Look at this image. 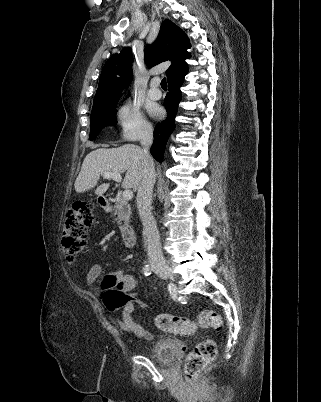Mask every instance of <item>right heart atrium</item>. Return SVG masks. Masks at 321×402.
<instances>
[{
	"label": "right heart atrium",
	"mask_w": 321,
	"mask_h": 402,
	"mask_svg": "<svg viewBox=\"0 0 321 402\" xmlns=\"http://www.w3.org/2000/svg\"><path fill=\"white\" fill-rule=\"evenodd\" d=\"M115 117L124 140L140 141L151 135L152 128L150 123L134 104L126 102L121 105Z\"/></svg>",
	"instance_id": "obj_1"
}]
</instances>
